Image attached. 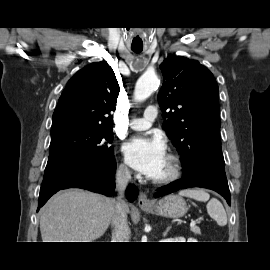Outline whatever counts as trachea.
I'll return each instance as SVG.
<instances>
[{
    "instance_id": "obj_1",
    "label": "trachea",
    "mask_w": 270,
    "mask_h": 270,
    "mask_svg": "<svg viewBox=\"0 0 270 270\" xmlns=\"http://www.w3.org/2000/svg\"><path fill=\"white\" fill-rule=\"evenodd\" d=\"M132 51L138 54L142 52V49L132 48Z\"/></svg>"
}]
</instances>
